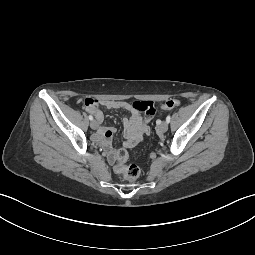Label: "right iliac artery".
<instances>
[{
  "mask_svg": "<svg viewBox=\"0 0 255 255\" xmlns=\"http://www.w3.org/2000/svg\"><path fill=\"white\" fill-rule=\"evenodd\" d=\"M88 118H89V120H91V121L93 120V116H92V115H89Z\"/></svg>",
  "mask_w": 255,
  "mask_h": 255,
  "instance_id": "82829eb1",
  "label": "right iliac artery"
}]
</instances>
